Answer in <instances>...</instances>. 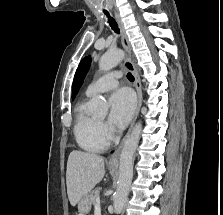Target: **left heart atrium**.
I'll list each match as a JSON object with an SVG mask.
<instances>
[{"label": "left heart atrium", "instance_id": "39dd6f15", "mask_svg": "<svg viewBox=\"0 0 223 215\" xmlns=\"http://www.w3.org/2000/svg\"><path fill=\"white\" fill-rule=\"evenodd\" d=\"M109 101V126L111 128H122L126 126L135 106V100L131 91L126 88L120 89L110 96Z\"/></svg>", "mask_w": 223, "mask_h": 215}]
</instances>
